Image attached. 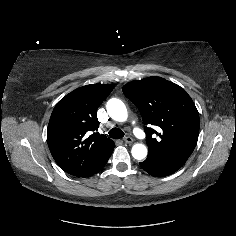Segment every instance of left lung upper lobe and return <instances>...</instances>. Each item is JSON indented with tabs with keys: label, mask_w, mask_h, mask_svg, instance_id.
I'll list each match as a JSON object with an SVG mask.
<instances>
[{
	"label": "left lung upper lobe",
	"mask_w": 236,
	"mask_h": 236,
	"mask_svg": "<svg viewBox=\"0 0 236 236\" xmlns=\"http://www.w3.org/2000/svg\"><path fill=\"white\" fill-rule=\"evenodd\" d=\"M125 96L140 110L148 156L187 160L199 135V113L191 97L177 84L148 77L123 86ZM158 126V131L147 125ZM156 134L158 137L153 138Z\"/></svg>",
	"instance_id": "1"
}]
</instances>
